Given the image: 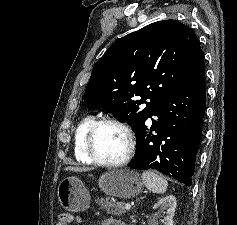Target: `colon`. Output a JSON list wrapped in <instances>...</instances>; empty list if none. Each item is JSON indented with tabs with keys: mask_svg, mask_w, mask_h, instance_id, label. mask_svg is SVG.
Segmentation results:
<instances>
[{
	"mask_svg": "<svg viewBox=\"0 0 237 225\" xmlns=\"http://www.w3.org/2000/svg\"><path fill=\"white\" fill-rule=\"evenodd\" d=\"M72 215L68 212H63L59 214L58 219H57V225H70L72 222Z\"/></svg>",
	"mask_w": 237,
	"mask_h": 225,
	"instance_id": "obj_1",
	"label": "colon"
}]
</instances>
